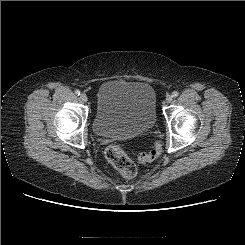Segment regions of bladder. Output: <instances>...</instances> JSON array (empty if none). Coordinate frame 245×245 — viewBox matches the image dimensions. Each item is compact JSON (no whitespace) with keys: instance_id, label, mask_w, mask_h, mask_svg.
Returning <instances> with one entry per match:
<instances>
[{"instance_id":"bladder-1","label":"bladder","mask_w":245,"mask_h":245,"mask_svg":"<svg viewBox=\"0 0 245 245\" xmlns=\"http://www.w3.org/2000/svg\"><path fill=\"white\" fill-rule=\"evenodd\" d=\"M156 120V95L149 84L112 79L100 86L93 118L98 136L142 135Z\"/></svg>"}]
</instances>
